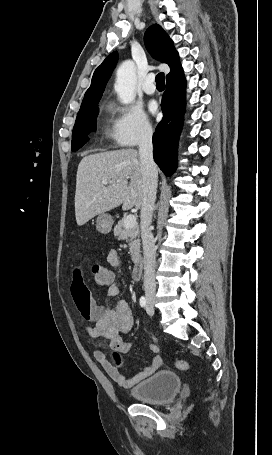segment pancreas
Here are the masks:
<instances>
[{
    "mask_svg": "<svg viewBox=\"0 0 272 455\" xmlns=\"http://www.w3.org/2000/svg\"><path fill=\"white\" fill-rule=\"evenodd\" d=\"M114 236L118 240L129 241V252L131 259L137 263L140 259V240H139V226L136 224L132 228H126L124 219L120 220L114 228Z\"/></svg>",
    "mask_w": 272,
    "mask_h": 455,
    "instance_id": "cf45deb5",
    "label": "pancreas"
}]
</instances>
